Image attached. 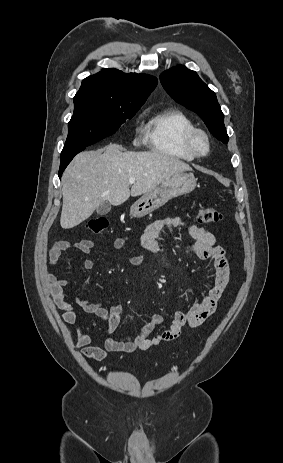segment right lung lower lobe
Here are the masks:
<instances>
[{
  "mask_svg": "<svg viewBox=\"0 0 283 463\" xmlns=\"http://www.w3.org/2000/svg\"><path fill=\"white\" fill-rule=\"evenodd\" d=\"M84 149L85 148H81V149H78V150H74V151H71V152H68V153H62L61 154V163H60V168H59V178H61V175H62L63 171L65 170L67 165L71 162L73 157L77 153H79L80 151H82Z\"/></svg>",
  "mask_w": 283,
  "mask_h": 463,
  "instance_id": "1",
  "label": "right lung lower lobe"
}]
</instances>
